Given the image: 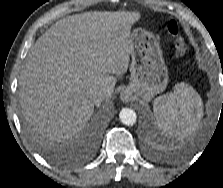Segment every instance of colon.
<instances>
[{
  "instance_id": "colon-1",
  "label": "colon",
  "mask_w": 223,
  "mask_h": 188,
  "mask_svg": "<svg viewBox=\"0 0 223 188\" xmlns=\"http://www.w3.org/2000/svg\"><path fill=\"white\" fill-rule=\"evenodd\" d=\"M167 29L175 39L176 50L181 55H184V56H187V55L191 54L192 51H193V48L190 45H188L186 43L185 39L183 38V36L181 34L180 25L176 21L171 20L167 24Z\"/></svg>"
}]
</instances>
